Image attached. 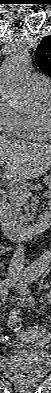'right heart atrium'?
Returning <instances> with one entry per match:
<instances>
[{"label": "right heart atrium", "instance_id": "d8ad5b80", "mask_svg": "<svg viewBox=\"0 0 51 393\" xmlns=\"http://www.w3.org/2000/svg\"><path fill=\"white\" fill-rule=\"evenodd\" d=\"M23 116L7 99H0V131L8 136L23 138Z\"/></svg>", "mask_w": 51, "mask_h": 393}]
</instances>
